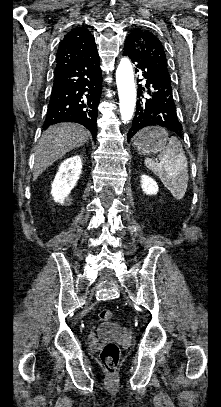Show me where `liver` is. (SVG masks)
<instances>
[{
  "label": "liver",
  "instance_id": "liver-1",
  "mask_svg": "<svg viewBox=\"0 0 221 407\" xmlns=\"http://www.w3.org/2000/svg\"><path fill=\"white\" fill-rule=\"evenodd\" d=\"M89 136L87 129L75 123H60L46 129L35 150L33 180L66 153L85 144Z\"/></svg>",
  "mask_w": 221,
  "mask_h": 407
}]
</instances>
